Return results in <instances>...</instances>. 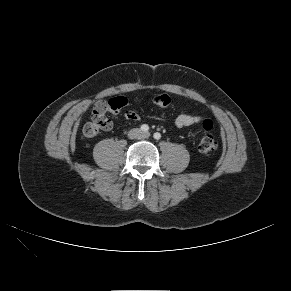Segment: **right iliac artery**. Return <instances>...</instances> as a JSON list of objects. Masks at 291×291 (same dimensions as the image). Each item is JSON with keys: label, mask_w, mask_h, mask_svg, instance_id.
Wrapping results in <instances>:
<instances>
[{"label": "right iliac artery", "mask_w": 291, "mask_h": 291, "mask_svg": "<svg viewBox=\"0 0 291 291\" xmlns=\"http://www.w3.org/2000/svg\"><path fill=\"white\" fill-rule=\"evenodd\" d=\"M140 129H141L143 132H148V130H149V126L146 125V124H143V125H141Z\"/></svg>", "instance_id": "82829eb1"}]
</instances>
